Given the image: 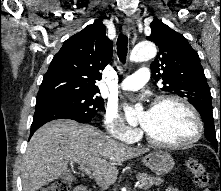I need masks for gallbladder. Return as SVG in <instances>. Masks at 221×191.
I'll return each mask as SVG.
<instances>
[{
  "mask_svg": "<svg viewBox=\"0 0 221 191\" xmlns=\"http://www.w3.org/2000/svg\"><path fill=\"white\" fill-rule=\"evenodd\" d=\"M66 176H68V172H66L65 174H63V177H66Z\"/></svg>",
  "mask_w": 221,
  "mask_h": 191,
  "instance_id": "obj_1",
  "label": "gallbladder"
}]
</instances>
